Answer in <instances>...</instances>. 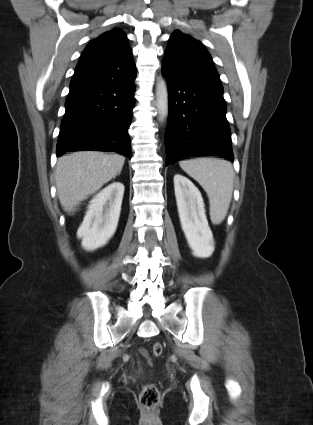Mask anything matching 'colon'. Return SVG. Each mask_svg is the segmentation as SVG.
I'll use <instances>...</instances> for the list:
<instances>
[{
    "label": "colon",
    "instance_id": "5ec220e1",
    "mask_svg": "<svg viewBox=\"0 0 313 425\" xmlns=\"http://www.w3.org/2000/svg\"><path fill=\"white\" fill-rule=\"evenodd\" d=\"M152 352L155 357H159L163 352L161 343H154ZM160 403V393L154 384H147L140 393V405L148 413H153Z\"/></svg>",
    "mask_w": 313,
    "mask_h": 425
}]
</instances>
